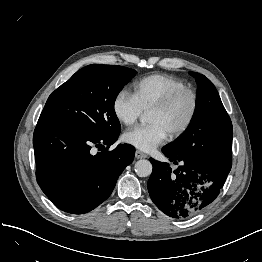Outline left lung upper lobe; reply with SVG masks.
<instances>
[{
	"mask_svg": "<svg viewBox=\"0 0 262 262\" xmlns=\"http://www.w3.org/2000/svg\"><path fill=\"white\" fill-rule=\"evenodd\" d=\"M189 74L198 85L194 115L186 131L163 149L215 168L232 154V123L213 83L202 74Z\"/></svg>",
	"mask_w": 262,
	"mask_h": 262,
	"instance_id": "obj_1",
	"label": "left lung upper lobe"
}]
</instances>
